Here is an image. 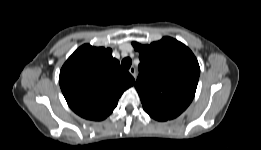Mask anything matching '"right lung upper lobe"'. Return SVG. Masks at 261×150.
<instances>
[{
	"label": "right lung upper lobe",
	"mask_w": 261,
	"mask_h": 150,
	"mask_svg": "<svg viewBox=\"0 0 261 150\" xmlns=\"http://www.w3.org/2000/svg\"><path fill=\"white\" fill-rule=\"evenodd\" d=\"M59 83L69 107L89 120H103L112 113L122 93L135 80L112 57L110 48L85 44L63 65Z\"/></svg>",
	"instance_id": "obj_1"
}]
</instances>
